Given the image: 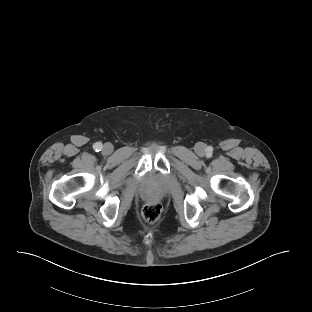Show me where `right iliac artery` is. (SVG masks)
<instances>
[{
	"mask_svg": "<svg viewBox=\"0 0 312 312\" xmlns=\"http://www.w3.org/2000/svg\"><path fill=\"white\" fill-rule=\"evenodd\" d=\"M93 148L96 152H99L102 149V144L100 142H97L93 145Z\"/></svg>",
	"mask_w": 312,
	"mask_h": 312,
	"instance_id": "82829eb1",
	"label": "right iliac artery"
}]
</instances>
